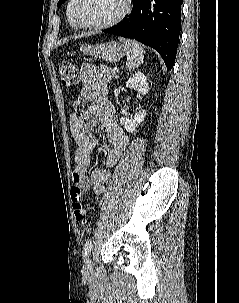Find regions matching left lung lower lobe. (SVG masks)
Here are the masks:
<instances>
[{"label":"left lung lower lobe","instance_id":"obj_1","mask_svg":"<svg viewBox=\"0 0 239 303\" xmlns=\"http://www.w3.org/2000/svg\"><path fill=\"white\" fill-rule=\"evenodd\" d=\"M183 0H133L130 16L105 33L135 39L154 48L171 70L181 30Z\"/></svg>","mask_w":239,"mask_h":303}]
</instances>
